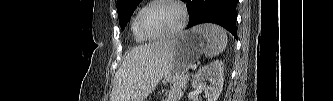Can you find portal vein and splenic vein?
I'll return each instance as SVG.
<instances>
[{
	"instance_id": "1",
	"label": "portal vein and splenic vein",
	"mask_w": 333,
	"mask_h": 101,
	"mask_svg": "<svg viewBox=\"0 0 333 101\" xmlns=\"http://www.w3.org/2000/svg\"><path fill=\"white\" fill-rule=\"evenodd\" d=\"M197 66L196 65H192L191 66V69H195Z\"/></svg>"
}]
</instances>
